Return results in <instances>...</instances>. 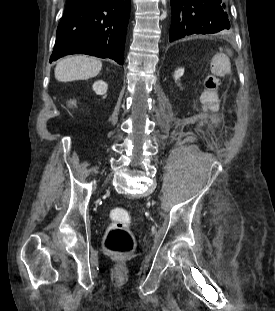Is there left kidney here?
<instances>
[{
	"mask_svg": "<svg viewBox=\"0 0 275 311\" xmlns=\"http://www.w3.org/2000/svg\"><path fill=\"white\" fill-rule=\"evenodd\" d=\"M184 73V69L179 68L177 70H175L174 72V78H175V82L178 84L177 86L179 87L180 83L182 82V79L180 78Z\"/></svg>",
	"mask_w": 275,
	"mask_h": 311,
	"instance_id": "5707ae66",
	"label": "left kidney"
}]
</instances>
